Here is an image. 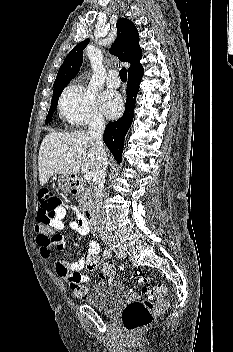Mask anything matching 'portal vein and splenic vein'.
I'll return each mask as SVG.
<instances>
[{
    "label": "portal vein and splenic vein",
    "mask_w": 233,
    "mask_h": 352,
    "mask_svg": "<svg viewBox=\"0 0 233 352\" xmlns=\"http://www.w3.org/2000/svg\"><path fill=\"white\" fill-rule=\"evenodd\" d=\"M92 174L90 173V172H86L85 174H84V178L86 179V180H91L92 179Z\"/></svg>",
    "instance_id": "obj_1"
}]
</instances>
